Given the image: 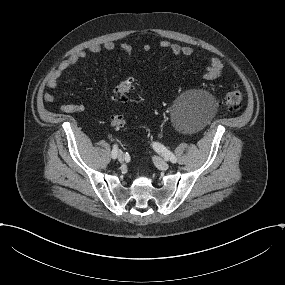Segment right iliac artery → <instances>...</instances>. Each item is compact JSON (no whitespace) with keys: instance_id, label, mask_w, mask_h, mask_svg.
Segmentation results:
<instances>
[{"instance_id":"82829eb1","label":"right iliac artery","mask_w":285,"mask_h":285,"mask_svg":"<svg viewBox=\"0 0 285 285\" xmlns=\"http://www.w3.org/2000/svg\"><path fill=\"white\" fill-rule=\"evenodd\" d=\"M117 154H118V146L114 145L113 149H112V153H111L112 159H116L117 158Z\"/></svg>"}]
</instances>
